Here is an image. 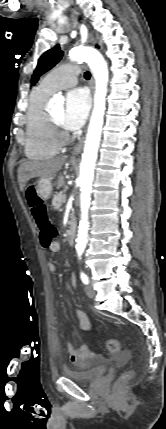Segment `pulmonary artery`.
<instances>
[{
	"label": "pulmonary artery",
	"mask_w": 166,
	"mask_h": 429,
	"mask_svg": "<svg viewBox=\"0 0 166 429\" xmlns=\"http://www.w3.org/2000/svg\"><path fill=\"white\" fill-rule=\"evenodd\" d=\"M80 74L79 65L67 64L50 72L41 82L40 87L49 92L68 88L77 82Z\"/></svg>",
	"instance_id": "pulmonary-artery-1"
}]
</instances>
